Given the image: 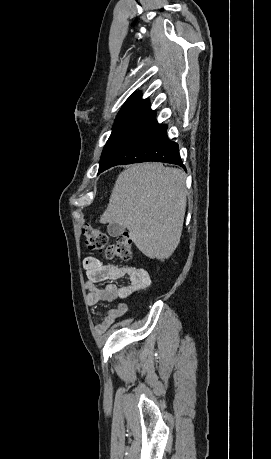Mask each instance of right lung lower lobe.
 Returning a JSON list of instances; mask_svg holds the SVG:
<instances>
[{"label": "right lung lower lobe", "instance_id": "obj_1", "mask_svg": "<svg viewBox=\"0 0 271 459\" xmlns=\"http://www.w3.org/2000/svg\"><path fill=\"white\" fill-rule=\"evenodd\" d=\"M147 161L176 164L185 169L179 156L178 144L167 137V125L158 124L156 119L127 142L110 159L104 170L115 165Z\"/></svg>", "mask_w": 271, "mask_h": 459}]
</instances>
